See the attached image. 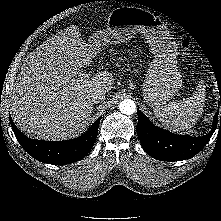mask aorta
Segmentation results:
<instances>
[{"instance_id":"obj_1","label":"aorta","mask_w":221,"mask_h":221,"mask_svg":"<svg viewBox=\"0 0 221 221\" xmlns=\"http://www.w3.org/2000/svg\"><path fill=\"white\" fill-rule=\"evenodd\" d=\"M119 110L122 114L132 115L136 111L135 102L131 99H124L119 104Z\"/></svg>"}]
</instances>
